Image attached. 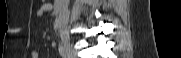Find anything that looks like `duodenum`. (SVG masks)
I'll use <instances>...</instances> for the list:
<instances>
[{
    "instance_id": "obj_1",
    "label": "duodenum",
    "mask_w": 181,
    "mask_h": 58,
    "mask_svg": "<svg viewBox=\"0 0 181 58\" xmlns=\"http://www.w3.org/2000/svg\"><path fill=\"white\" fill-rule=\"evenodd\" d=\"M64 0H56L54 2L55 10L57 13H62L64 11Z\"/></svg>"
}]
</instances>
